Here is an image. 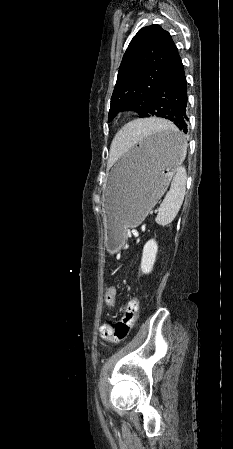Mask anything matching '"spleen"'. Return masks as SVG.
<instances>
[{"label":"spleen","instance_id":"1","mask_svg":"<svg viewBox=\"0 0 233 449\" xmlns=\"http://www.w3.org/2000/svg\"><path fill=\"white\" fill-rule=\"evenodd\" d=\"M168 126L169 125H148V131L146 134H143L142 138H147L148 134L152 133H166L167 129L177 130L173 126ZM132 144V141L124 144L118 152V155L127 151L132 146ZM182 148L183 155L185 156L187 143L184 139L182 141ZM186 179L187 175L185 168L182 166H178L175 169L170 190L167 192L163 202L161 203L159 208L160 211L155 218V221L158 225L166 226L170 224L178 214L185 196Z\"/></svg>","mask_w":233,"mask_h":449}]
</instances>
